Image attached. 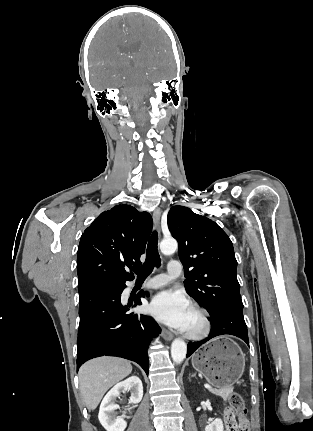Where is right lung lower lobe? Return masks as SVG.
Instances as JSON below:
<instances>
[{
  "label": "right lung lower lobe",
  "mask_w": 313,
  "mask_h": 431,
  "mask_svg": "<svg viewBox=\"0 0 313 431\" xmlns=\"http://www.w3.org/2000/svg\"><path fill=\"white\" fill-rule=\"evenodd\" d=\"M125 288L122 282L98 283L78 289L77 370L87 360L106 355L135 361L148 374L147 348L161 329L153 318L132 311L142 304L140 297L127 305L121 302Z\"/></svg>",
  "instance_id": "obj_1"
}]
</instances>
